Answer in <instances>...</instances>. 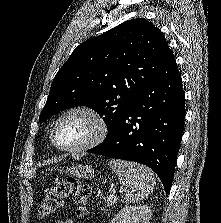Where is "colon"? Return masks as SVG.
<instances>
[{"instance_id": "obj_1", "label": "colon", "mask_w": 221, "mask_h": 223, "mask_svg": "<svg viewBox=\"0 0 221 223\" xmlns=\"http://www.w3.org/2000/svg\"><path fill=\"white\" fill-rule=\"evenodd\" d=\"M90 188L74 177L59 180L49 189L38 208V216L47 218L54 214L62 205L65 198L71 197L77 203L76 216L82 218L88 213Z\"/></svg>"}]
</instances>
